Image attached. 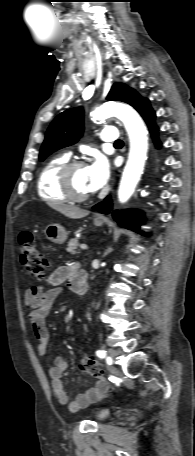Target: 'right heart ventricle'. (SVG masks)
<instances>
[{"label":"right heart ventricle","mask_w":195,"mask_h":456,"mask_svg":"<svg viewBox=\"0 0 195 456\" xmlns=\"http://www.w3.org/2000/svg\"><path fill=\"white\" fill-rule=\"evenodd\" d=\"M68 162L69 156L62 154L50 159L44 165L37 180L38 194L41 198L54 202H64L67 199L60 188L59 173Z\"/></svg>","instance_id":"right-heart-ventricle-1"}]
</instances>
